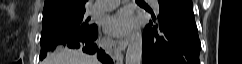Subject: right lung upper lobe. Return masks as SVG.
Returning <instances> with one entry per match:
<instances>
[{"mask_svg": "<svg viewBox=\"0 0 242 64\" xmlns=\"http://www.w3.org/2000/svg\"><path fill=\"white\" fill-rule=\"evenodd\" d=\"M87 0H45L43 13L84 7Z\"/></svg>", "mask_w": 242, "mask_h": 64, "instance_id": "cb5924a9", "label": "right lung upper lobe"}]
</instances>
